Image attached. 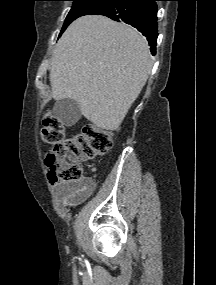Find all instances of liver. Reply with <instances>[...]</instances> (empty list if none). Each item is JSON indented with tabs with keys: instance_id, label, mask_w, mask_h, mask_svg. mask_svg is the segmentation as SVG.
<instances>
[{
	"instance_id": "1",
	"label": "liver",
	"mask_w": 216,
	"mask_h": 285,
	"mask_svg": "<svg viewBox=\"0 0 216 285\" xmlns=\"http://www.w3.org/2000/svg\"><path fill=\"white\" fill-rule=\"evenodd\" d=\"M148 42L124 23L89 15L75 20L51 58L55 100H74L96 127L117 130L152 69Z\"/></svg>"
}]
</instances>
